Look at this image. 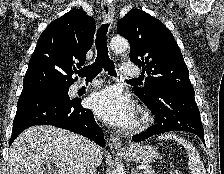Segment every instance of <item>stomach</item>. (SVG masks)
Masks as SVG:
<instances>
[{
    "label": "stomach",
    "mask_w": 224,
    "mask_h": 174,
    "mask_svg": "<svg viewBox=\"0 0 224 174\" xmlns=\"http://www.w3.org/2000/svg\"><path fill=\"white\" fill-rule=\"evenodd\" d=\"M130 156L136 163L150 164L158 159L159 153L150 145H138L131 150Z\"/></svg>",
    "instance_id": "obj_1"
}]
</instances>
